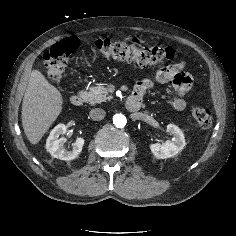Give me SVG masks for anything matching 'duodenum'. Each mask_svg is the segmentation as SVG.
Masks as SVG:
<instances>
[{
	"label": "duodenum",
	"mask_w": 236,
	"mask_h": 236,
	"mask_svg": "<svg viewBox=\"0 0 236 236\" xmlns=\"http://www.w3.org/2000/svg\"><path fill=\"white\" fill-rule=\"evenodd\" d=\"M70 102L73 106H81L84 102V96L82 94H73L70 97ZM142 99L138 95L130 96L126 101V108L128 111L136 112L140 109Z\"/></svg>",
	"instance_id": "410a0bca"
}]
</instances>
